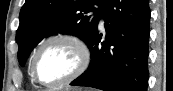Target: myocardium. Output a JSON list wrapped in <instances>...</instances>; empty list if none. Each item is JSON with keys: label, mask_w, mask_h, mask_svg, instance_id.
Wrapping results in <instances>:
<instances>
[{"label": "myocardium", "mask_w": 173, "mask_h": 91, "mask_svg": "<svg viewBox=\"0 0 173 91\" xmlns=\"http://www.w3.org/2000/svg\"><path fill=\"white\" fill-rule=\"evenodd\" d=\"M54 42H65L71 45L77 52L78 64L76 68L65 78L56 82H43L42 80H40L37 74V62L43 49L49 44ZM90 62H91V50L89 45L83 38L72 33L56 34V35L50 36L45 41H43L40 44V46L37 48V50L35 51L33 59H32V63H31L32 77L36 82H38L42 86L51 87V88L60 87L65 84H68L69 82L75 80L80 75H82L89 67Z\"/></svg>", "instance_id": "myocardium-1"}]
</instances>
